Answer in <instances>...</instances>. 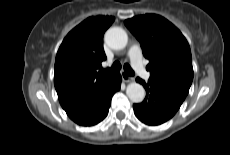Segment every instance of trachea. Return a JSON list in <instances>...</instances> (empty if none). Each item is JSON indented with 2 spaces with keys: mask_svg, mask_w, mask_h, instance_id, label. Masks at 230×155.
Returning <instances> with one entry per match:
<instances>
[{
  "mask_svg": "<svg viewBox=\"0 0 230 155\" xmlns=\"http://www.w3.org/2000/svg\"><path fill=\"white\" fill-rule=\"evenodd\" d=\"M123 68H124V72L127 75L134 76L135 73L129 64L126 63ZM110 69L114 72H118L121 69V64L118 61H115Z\"/></svg>",
  "mask_w": 230,
  "mask_h": 155,
  "instance_id": "3493384b",
  "label": "trachea"
}]
</instances>
